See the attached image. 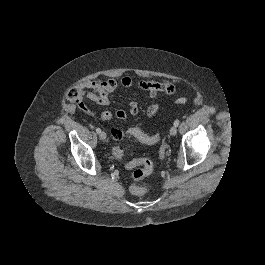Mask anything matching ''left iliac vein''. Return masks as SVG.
<instances>
[{"label":"left iliac vein","instance_id":"left-iliac-vein-1","mask_svg":"<svg viewBox=\"0 0 265 265\" xmlns=\"http://www.w3.org/2000/svg\"><path fill=\"white\" fill-rule=\"evenodd\" d=\"M177 134V128L176 126H172L170 128V135L175 136Z\"/></svg>","mask_w":265,"mask_h":265}]
</instances>
